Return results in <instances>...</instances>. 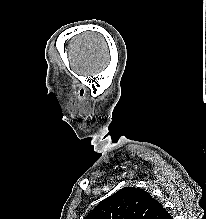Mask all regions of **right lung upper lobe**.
I'll return each instance as SVG.
<instances>
[{"label": "right lung upper lobe", "instance_id": "obj_1", "mask_svg": "<svg viewBox=\"0 0 206 219\" xmlns=\"http://www.w3.org/2000/svg\"><path fill=\"white\" fill-rule=\"evenodd\" d=\"M85 219H172L144 190L125 187L100 202Z\"/></svg>", "mask_w": 206, "mask_h": 219}]
</instances>
